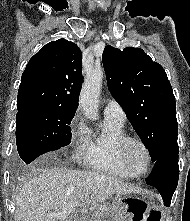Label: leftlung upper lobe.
<instances>
[{"label":"left lung upper lobe","mask_w":190,"mask_h":221,"mask_svg":"<svg viewBox=\"0 0 190 221\" xmlns=\"http://www.w3.org/2000/svg\"><path fill=\"white\" fill-rule=\"evenodd\" d=\"M102 61L110 93L155 162L178 146L175 97L166 72L140 48L106 46Z\"/></svg>","instance_id":"1"}]
</instances>
